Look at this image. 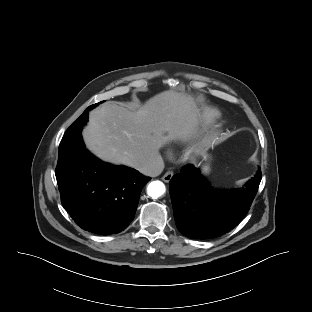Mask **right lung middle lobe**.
Segmentation results:
<instances>
[{
  "label": "right lung middle lobe",
  "instance_id": "obj_1",
  "mask_svg": "<svg viewBox=\"0 0 312 312\" xmlns=\"http://www.w3.org/2000/svg\"><path fill=\"white\" fill-rule=\"evenodd\" d=\"M98 104L99 103L87 107L83 114L67 129L59 146V158L64 157L65 154L69 152L73 143L80 139V132L87 122L89 111L95 108Z\"/></svg>",
  "mask_w": 312,
  "mask_h": 312
}]
</instances>
